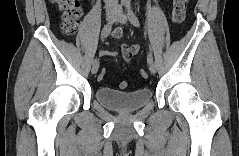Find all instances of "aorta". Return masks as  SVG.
Listing matches in <instances>:
<instances>
[{"mask_svg":"<svg viewBox=\"0 0 239 156\" xmlns=\"http://www.w3.org/2000/svg\"><path fill=\"white\" fill-rule=\"evenodd\" d=\"M122 2H123L124 4H129V3H130V0H122Z\"/></svg>","mask_w":239,"mask_h":156,"instance_id":"aorta-1","label":"aorta"}]
</instances>
